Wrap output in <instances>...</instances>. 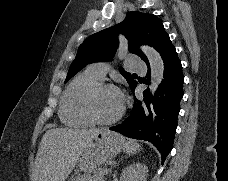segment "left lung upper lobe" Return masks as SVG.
Instances as JSON below:
<instances>
[{
  "label": "left lung upper lobe",
  "instance_id": "obj_1",
  "mask_svg": "<svg viewBox=\"0 0 228 181\" xmlns=\"http://www.w3.org/2000/svg\"><path fill=\"white\" fill-rule=\"evenodd\" d=\"M114 27L104 29L88 37L80 46L77 55L70 65L65 83L87 64L93 62L108 61L114 57L118 47V33L123 34L129 40L130 51L147 60V57L137 48L139 45H149L157 49L168 34L164 31L161 20L148 13L138 11L128 12L125 19ZM120 73L129 85L136 82L137 76L126 72L122 67Z\"/></svg>",
  "mask_w": 228,
  "mask_h": 181
}]
</instances>
